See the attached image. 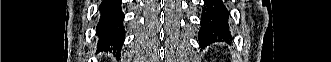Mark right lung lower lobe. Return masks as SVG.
I'll use <instances>...</instances> for the list:
<instances>
[{
    "instance_id": "right-lung-lower-lobe-1",
    "label": "right lung lower lobe",
    "mask_w": 331,
    "mask_h": 62,
    "mask_svg": "<svg viewBox=\"0 0 331 62\" xmlns=\"http://www.w3.org/2000/svg\"><path fill=\"white\" fill-rule=\"evenodd\" d=\"M122 0H103L99 5L100 19L97 25L98 49L120 51L125 38Z\"/></svg>"
}]
</instances>
